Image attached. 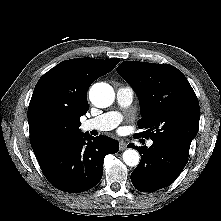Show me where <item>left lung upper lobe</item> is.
Masks as SVG:
<instances>
[{
	"label": "left lung upper lobe",
	"instance_id": "5c2ea615",
	"mask_svg": "<svg viewBox=\"0 0 221 221\" xmlns=\"http://www.w3.org/2000/svg\"><path fill=\"white\" fill-rule=\"evenodd\" d=\"M117 72L137 93L142 119L138 127L152 141L164 142L189 155L198 133L200 107L186 77L174 66L124 61Z\"/></svg>",
	"mask_w": 221,
	"mask_h": 221
}]
</instances>
